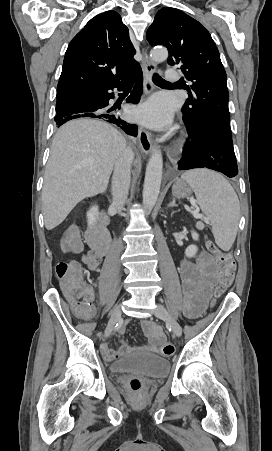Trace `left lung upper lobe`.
Returning a JSON list of instances; mask_svg holds the SVG:
<instances>
[{"label": "left lung upper lobe", "mask_w": 272, "mask_h": 451, "mask_svg": "<svg viewBox=\"0 0 272 451\" xmlns=\"http://www.w3.org/2000/svg\"><path fill=\"white\" fill-rule=\"evenodd\" d=\"M146 38L153 46H165L168 64L179 66L193 83L182 108L183 121L190 131L213 126L232 136L226 72L207 29L181 10L164 7L156 14Z\"/></svg>", "instance_id": "left-lung-upper-lobe-1"}]
</instances>
